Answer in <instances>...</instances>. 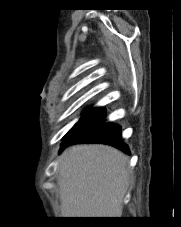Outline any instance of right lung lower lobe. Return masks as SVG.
Returning a JSON list of instances; mask_svg holds the SVG:
<instances>
[{"label":"right lung lower lobe","mask_w":181,"mask_h":227,"mask_svg":"<svg viewBox=\"0 0 181 227\" xmlns=\"http://www.w3.org/2000/svg\"><path fill=\"white\" fill-rule=\"evenodd\" d=\"M104 109L79 121L63 138L60 151L76 143H103L129 153L121 141L120 127L106 123Z\"/></svg>","instance_id":"obj_1"}]
</instances>
